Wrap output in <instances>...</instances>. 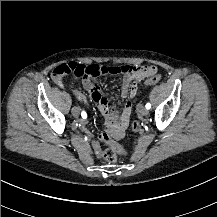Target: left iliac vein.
<instances>
[{
	"mask_svg": "<svg viewBox=\"0 0 217 217\" xmlns=\"http://www.w3.org/2000/svg\"><path fill=\"white\" fill-rule=\"evenodd\" d=\"M139 111L143 116H147L149 114V110L144 106H140Z\"/></svg>",
	"mask_w": 217,
	"mask_h": 217,
	"instance_id": "1",
	"label": "left iliac vein"
}]
</instances>
